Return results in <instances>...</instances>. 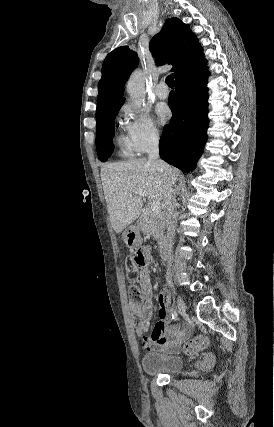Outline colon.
Returning <instances> with one entry per match:
<instances>
[{
    "instance_id": "5ec220e1",
    "label": "colon",
    "mask_w": 274,
    "mask_h": 427,
    "mask_svg": "<svg viewBox=\"0 0 274 427\" xmlns=\"http://www.w3.org/2000/svg\"><path fill=\"white\" fill-rule=\"evenodd\" d=\"M147 259L146 253L142 249L134 250L128 257L126 263V273L128 275L129 287V304L130 308L138 306L142 301V292L137 286L135 277L138 270L145 264ZM133 283V284H132ZM209 344L207 335L199 334L184 344V352L187 355L198 354Z\"/></svg>"
}]
</instances>
